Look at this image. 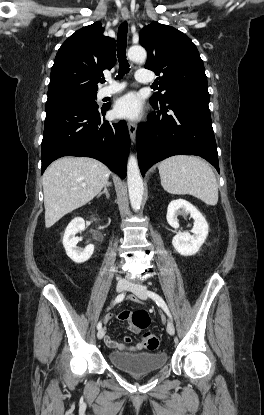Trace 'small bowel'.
<instances>
[{
    "label": "small bowel",
    "mask_w": 264,
    "mask_h": 415,
    "mask_svg": "<svg viewBox=\"0 0 264 415\" xmlns=\"http://www.w3.org/2000/svg\"><path fill=\"white\" fill-rule=\"evenodd\" d=\"M131 300L134 301V302H140V300L135 296L131 297ZM114 319H117L119 321L128 323L127 329L129 331H131L133 333H138L139 332V328L134 326L130 322L131 314L128 311H122V312H119L117 314L108 313L104 317L105 323H108V322H110L111 320H114ZM104 341H105V343L108 347L114 348V349L128 350V351H133V352L141 351L143 349V345H142L141 342H138L134 345H131L132 339L129 335H125L123 337V342H118V341L114 340L110 335L105 333Z\"/></svg>",
    "instance_id": "obj_1"
}]
</instances>
